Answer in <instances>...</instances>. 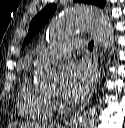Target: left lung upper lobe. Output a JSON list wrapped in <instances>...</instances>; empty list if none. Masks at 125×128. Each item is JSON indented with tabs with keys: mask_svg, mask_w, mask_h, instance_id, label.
Here are the masks:
<instances>
[{
	"mask_svg": "<svg viewBox=\"0 0 125 128\" xmlns=\"http://www.w3.org/2000/svg\"><path fill=\"white\" fill-rule=\"evenodd\" d=\"M75 2H83L87 4H93L99 7L105 6V0H74ZM56 5L49 4L44 9H42L30 22L29 30L26 38L24 39L23 48L26 43L30 41V39L41 30V28L45 25L48 19L52 16L54 11L56 10Z\"/></svg>",
	"mask_w": 125,
	"mask_h": 128,
	"instance_id": "1",
	"label": "left lung upper lobe"
}]
</instances>
